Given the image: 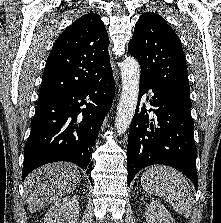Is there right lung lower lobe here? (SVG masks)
<instances>
[{
  "label": "right lung lower lobe",
  "mask_w": 221,
  "mask_h": 223,
  "mask_svg": "<svg viewBox=\"0 0 221 223\" xmlns=\"http://www.w3.org/2000/svg\"><path fill=\"white\" fill-rule=\"evenodd\" d=\"M115 95L112 69L66 95L37 104L24 148L22 180L55 161L73 162L91 175L92 147Z\"/></svg>",
  "instance_id": "obj_1"
}]
</instances>
